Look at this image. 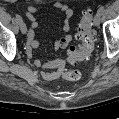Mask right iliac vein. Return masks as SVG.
<instances>
[{
  "mask_svg": "<svg viewBox=\"0 0 119 119\" xmlns=\"http://www.w3.org/2000/svg\"><path fill=\"white\" fill-rule=\"evenodd\" d=\"M19 25H20V30H21V32H22L23 34H26V32H27V26H26V24H25L23 21H21V22L19 23Z\"/></svg>",
  "mask_w": 119,
  "mask_h": 119,
  "instance_id": "right-iliac-vein-1",
  "label": "right iliac vein"
}]
</instances>
